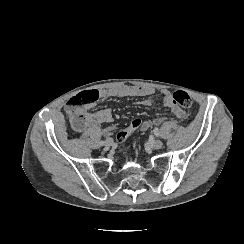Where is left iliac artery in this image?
<instances>
[{"label": "left iliac artery", "mask_w": 244, "mask_h": 244, "mask_svg": "<svg viewBox=\"0 0 244 244\" xmlns=\"http://www.w3.org/2000/svg\"><path fill=\"white\" fill-rule=\"evenodd\" d=\"M154 134H155L156 136H159V135H160V132H159V129H158V128H155V129H154Z\"/></svg>", "instance_id": "44dca946"}]
</instances>
